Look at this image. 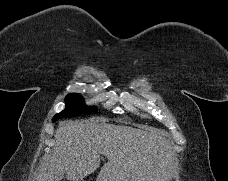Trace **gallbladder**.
<instances>
[{
	"label": "gallbladder",
	"instance_id": "gallbladder-1",
	"mask_svg": "<svg viewBox=\"0 0 228 181\" xmlns=\"http://www.w3.org/2000/svg\"><path fill=\"white\" fill-rule=\"evenodd\" d=\"M63 177H64V173H60V175H56L54 181H62Z\"/></svg>",
	"mask_w": 228,
	"mask_h": 181
}]
</instances>
